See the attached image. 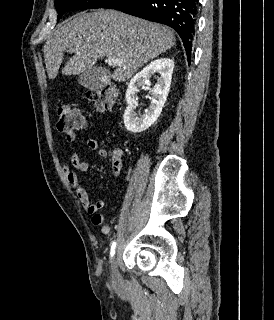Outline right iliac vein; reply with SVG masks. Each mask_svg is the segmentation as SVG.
Returning <instances> with one entry per match:
<instances>
[{"label": "right iliac vein", "instance_id": "1", "mask_svg": "<svg viewBox=\"0 0 274 320\" xmlns=\"http://www.w3.org/2000/svg\"><path fill=\"white\" fill-rule=\"evenodd\" d=\"M111 278H112V284L114 285V287L120 288L122 286V279H121L119 271H118L117 255H115L112 260Z\"/></svg>", "mask_w": 274, "mask_h": 320}]
</instances>
